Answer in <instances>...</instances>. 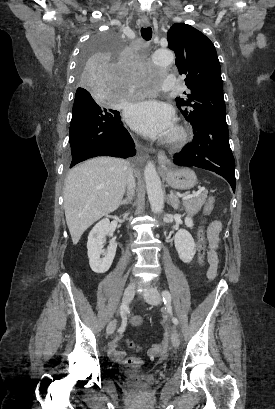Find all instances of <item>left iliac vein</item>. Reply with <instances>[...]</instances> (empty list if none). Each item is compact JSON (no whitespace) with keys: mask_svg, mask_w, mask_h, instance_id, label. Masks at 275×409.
<instances>
[{"mask_svg":"<svg viewBox=\"0 0 275 409\" xmlns=\"http://www.w3.org/2000/svg\"><path fill=\"white\" fill-rule=\"evenodd\" d=\"M145 299L148 303L152 305H159L162 298L161 295L156 290H148L145 293ZM171 344L173 347L178 348L180 343V337L176 326H172L171 329Z\"/></svg>","mask_w":275,"mask_h":409,"instance_id":"1","label":"left iliac vein"}]
</instances>
